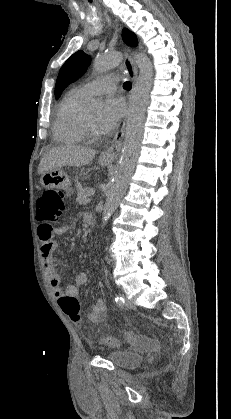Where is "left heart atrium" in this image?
I'll return each instance as SVG.
<instances>
[{
    "instance_id": "1",
    "label": "left heart atrium",
    "mask_w": 231,
    "mask_h": 419,
    "mask_svg": "<svg viewBox=\"0 0 231 419\" xmlns=\"http://www.w3.org/2000/svg\"><path fill=\"white\" fill-rule=\"evenodd\" d=\"M124 110V104L119 98L109 97L98 116L97 123L100 132L108 133L113 130L123 116Z\"/></svg>"
}]
</instances>
